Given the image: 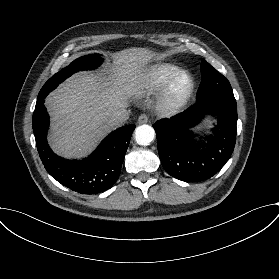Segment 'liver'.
Returning a JSON list of instances; mask_svg holds the SVG:
<instances>
[{
	"label": "liver",
	"mask_w": 279,
	"mask_h": 279,
	"mask_svg": "<svg viewBox=\"0 0 279 279\" xmlns=\"http://www.w3.org/2000/svg\"><path fill=\"white\" fill-rule=\"evenodd\" d=\"M160 56L147 48H129L113 53L104 73L74 74L51 92L46 106L51 116L48 142L66 158L87 156L115 127L108 121L113 111L127 108L128 99L146 83L145 65Z\"/></svg>",
	"instance_id": "1"
}]
</instances>
